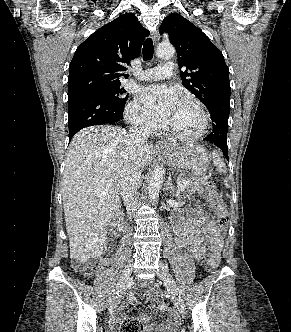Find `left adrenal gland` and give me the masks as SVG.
<instances>
[{
	"mask_svg": "<svg viewBox=\"0 0 291 332\" xmlns=\"http://www.w3.org/2000/svg\"><path fill=\"white\" fill-rule=\"evenodd\" d=\"M174 188H175V186L172 183V179H171V175H170L169 178H168V180H167V182H166V184H165V190L166 191L169 190L170 193L173 194Z\"/></svg>",
	"mask_w": 291,
	"mask_h": 332,
	"instance_id": "obj_1",
	"label": "left adrenal gland"
}]
</instances>
